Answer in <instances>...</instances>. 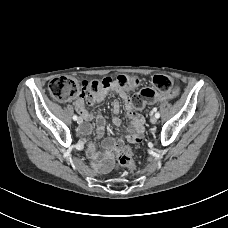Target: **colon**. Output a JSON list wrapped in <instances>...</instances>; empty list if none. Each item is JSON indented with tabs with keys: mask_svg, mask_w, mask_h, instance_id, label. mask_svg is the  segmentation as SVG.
I'll use <instances>...</instances> for the list:
<instances>
[{
	"mask_svg": "<svg viewBox=\"0 0 228 228\" xmlns=\"http://www.w3.org/2000/svg\"><path fill=\"white\" fill-rule=\"evenodd\" d=\"M118 84L121 88L130 89L137 84L133 76L120 75L116 79L106 77L101 80L77 81L69 77H59L51 80L48 85L51 96L58 101H67L84 95L95 96L103 90ZM154 88H145L132 98V107L142 109L147 104L171 99L177 96L178 88L174 80L167 75H155L152 78ZM118 162L128 169L135 168L132 150L125 146L118 155Z\"/></svg>",
	"mask_w": 228,
	"mask_h": 228,
	"instance_id": "1",
	"label": "colon"
}]
</instances>
